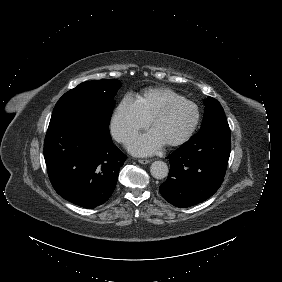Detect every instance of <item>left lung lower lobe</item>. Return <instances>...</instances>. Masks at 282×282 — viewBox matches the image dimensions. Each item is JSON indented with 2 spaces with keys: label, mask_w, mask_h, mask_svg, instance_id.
<instances>
[{
  "label": "left lung lower lobe",
  "mask_w": 282,
  "mask_h": 282,
  "mask_svg": "<svg viewBox=\"0 0 282 282\" xmlns=\"http://www.w3.org/2000/svg\"><path fill=\"white\" fill-rule=\"evenodd\" d=\"M230 149L227 121L201 128L167 157L171 167L167 180L159 188L161 195L182 208L205 201L223 182Z\"/></svg>",
  "instance_id": "1"
}]
</instances>
